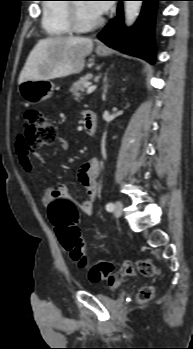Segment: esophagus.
Returning <instances> with one entry per match:
<instances>
[{
  "label": "esophagus",
  "instance_id": "1",
  "mask_svg": "<svg viewBox=\"0 0 193 349\" xmlns=\"http://www.w3.org/2000/svg\"><path fill=\"white\" fill-rule=\"evenodd\" d=\"M98 47H105V46L102 43H98Z\"/></svg>",
  "mask_w": 193,
  "mask_h": 349
}]
</instances>
